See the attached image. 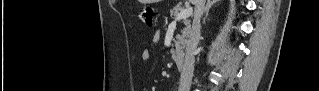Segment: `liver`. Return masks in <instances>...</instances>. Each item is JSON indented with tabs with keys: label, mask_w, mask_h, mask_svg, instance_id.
Here are the masks:
<instances>
[{
	"label": "liver",
	"mask_w": 319,
	"mask_h": 91,
	"mask_svg": "<svg viewBox=\"0 0 319 91\" xmlns=\"http://www.w3.org/2000/svg\"><path fill=\"white\" fill-rule=\"evenodd\" d=\"M192 4H195L196 3V0H190Z\"/></svg>",
	"instance_id": "6515ba94"
}]
</instances>
